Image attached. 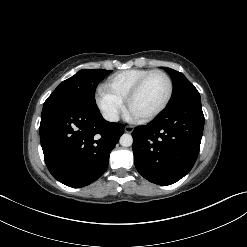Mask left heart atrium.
<instances>
[{"mask_svg": "<svg viewBox=\"0 0 247 247\" xmlns=\"http://www.w3.org/2000/svg\"><path fill=\"white\" fill-rule=\"evenodd\" d=\"M131 115H132L133 117H136V116H135L134 114H132V113H131Z\"/></svg>", "mask_w": 247, "mask_h": 247, "instance_id": "39dd6f15", "label": "left heart atrium"}]
</instances>
